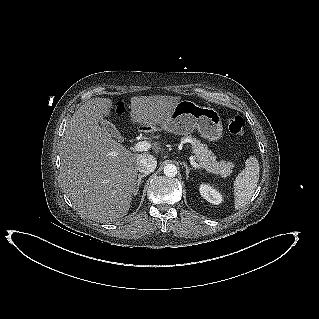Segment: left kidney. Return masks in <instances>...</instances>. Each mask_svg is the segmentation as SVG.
Masks as SVG:
<instances>
[{
    "label": "left kidney",
    "instance_id": "left-kidney-1",
    "mask_svg": "<svg viewBox=\"0 0 319 319\" xmlns=\"http://www.w3.org/2000/svg\"><path fill=\"white\" fill-rule=\"evenodd\" d=\"M201 196L212 204H220L222 202L221 194L210 185L202 184L199 188Z\"/></svg>",
    "mask_w": 319,
    "mask_h": 319
}]
</instances>
